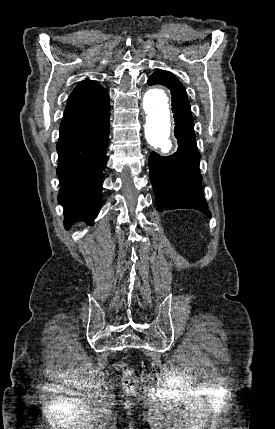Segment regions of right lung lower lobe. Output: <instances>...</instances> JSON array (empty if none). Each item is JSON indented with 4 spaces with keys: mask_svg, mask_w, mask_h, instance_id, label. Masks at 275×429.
Wrapping results in <instances>:
<instances>
[{
    "mask_svg": "<svg viewBox=\"0 0 275 429\" xmlns=\"http://www.w3.org/2000/svg\"><path fill=\"white\" fill-rule=\"evenodd\" d=\"M109 111L93 120L60 128L58 201L64 207L66 228L73 221H93L100 210L102 170L109 141Z\"/></svg>",
    "mask_w": 275,
    "mask_h": 429,
    "instance_id": "obj_1",
    "label": "right lung lower lobe"
}]
</instances>
